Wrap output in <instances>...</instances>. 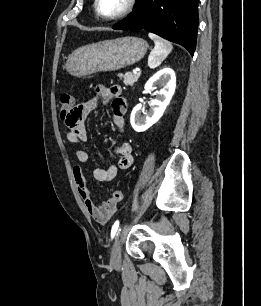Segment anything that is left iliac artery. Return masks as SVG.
Here are the masks:
<instances>
[{"label": "left iliac artery", "instance_id": "left-iliac-artery-1", "mask_svg": "<svg viewBox=\"0 0 261 306\" xmlns=\"http://www.w3.org/2000/svg\"><path fill=\"white\" fill-rule=\"evenodd\" d=\"M118 228H119V220H117L113 226H112V229H111V239H113L118 231Z\"/></svg>", "mask_w": 261, "mask_h": 306}]
</instances>
